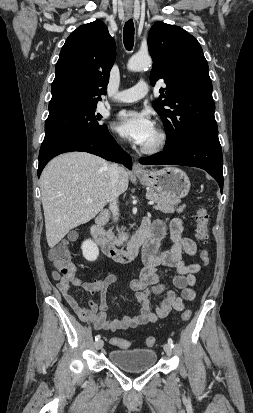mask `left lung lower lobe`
<instances>
[{"label":"left lung lower lobe","mask_w":253,"mask_h":413,"mask_svg":"<svg viewBox=\"0 0 253 413\" xmlns=\"http://www.w3.org/2000/svg\"><path fill=\"white\" fill-rule=\"evenodd\" d=\"M141 164L184 165L207 171L223 190V157L219 140L194 138L173 148L139 159Z\"/></svg>","instance_id":"0a47b994"}]
</instances>
